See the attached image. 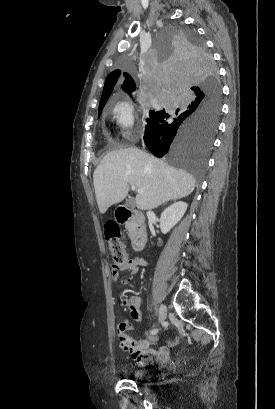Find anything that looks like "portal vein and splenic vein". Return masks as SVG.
<instances>
[{
    "label": "portal vein and splenic vein",
    "mask_w": 275,
    "mask_h": 409,
    "mask_svg": "<svg viewBox=\"0 0 275 409\" xmlns=\"http://www.w3.org/2000/svg\"><path fill=\"white\" fill-rule=\"evenodd\" d=\"M132 190H135V186H131ZM137 192H140V194H142L143 190H141V188H138Z\"/></svg>",
    "instance_id": "1"
}]
</instances>
